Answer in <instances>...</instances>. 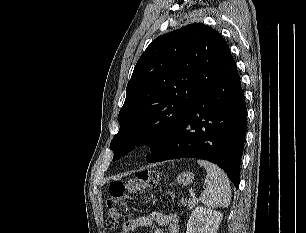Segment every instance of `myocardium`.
Returning a JSON list of instances; mask_svg holds the SVG:
<instances>
[{
  "instance_id": "f54148a6",
  "label": "myocardium",
  "mask_w": 306,
  "mask_h": 233,
  "mask_svg": "<svg viewBox=\"0 0 306 233\" xmlns=\"http://www.w3.org/2000/svg\"><path fill=\"white\" fill-rule=\"evenodd\" d=\"M148 145H149L148 142L144 141V142L141 143L140 147L142 149H146L148 147Z\"/></svg>"
}]
</instances>
